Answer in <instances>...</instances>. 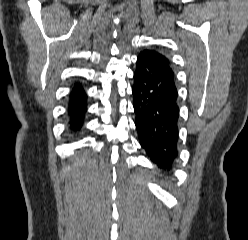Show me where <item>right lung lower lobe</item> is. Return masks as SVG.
I'll return each instance as SVG.
<instances>
[{
  "label": "right lung lower lobe",
  "mask_w": 248,
  "mask_h": 240,
  "mask_svg": "<svg viewBox=\"0 0 248 240\" xmlns=\"http://www.w3.org/2000/svg\"><path fill=\"white\" fill-rule=\"evenodd\" d=\"M86 112L87 94L85 93L83 86L79 82H76L69 95L67 111L70 129L72 131H77L82 127Z\"/></svg>",
  "instance_id": "right-lung-lower-lobe-1"
}]
</instances>
